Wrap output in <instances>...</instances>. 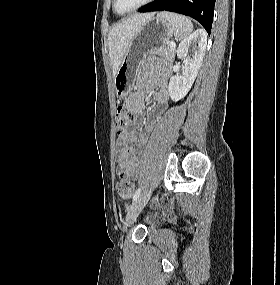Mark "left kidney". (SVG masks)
<instances>
[{
  "label": "left kidney",
  "mask_w": 280,
  "mask_h": 285,
  "mask_svg": "<svg viewBox=\"0 0 280 285\" xmlns=\"http://www.w3.org/2000/svg\"><path fill=\"white\" fill-rule=\"evenodd\" d=\"M206 45L207 35L202 29H197L179 44L177 56L184 60V70L181 76L175 75L170 78L168 90L173 101L184 98L191 89L202 65ZM189 49H191L190 55Z\"/></svg>",
  "instance_id": "obj_1"
}]
</instances>
